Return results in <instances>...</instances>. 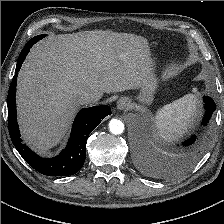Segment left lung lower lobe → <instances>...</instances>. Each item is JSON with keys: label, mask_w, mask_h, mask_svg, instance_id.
I'll return each mask as SVG.
<instances>
[{"label": "left lung lower lobe", "mask_w": 224, "mask_h": 224, "mask_svg": "<svg viewBox=\"0 0 224 224\" xmlns=\"http://www.w3.org/2000/svg\"><path fill=\"white\" fill-rule=\"evenodd\" d=\"M203 101L205 103V115H204L202 124L207 125V123L209 122V119L212 116V113L216 109V105H215V102L213 101V99L211 97H208V96H205L203 98ZM195 141H196V135H192L189 139L184 141L182 143V145L184 147H190L195 143ZM197 156H198L197 148L193 147V148L188 149L187 151H185V153L183 155H181V160L184 161V162H190V161L195 160ZM143 162L148 167L156 169L157 164L152 159L151 156H149L147 154H143Z\"/></svg>", "instance_id": "1"}]
</instances>
